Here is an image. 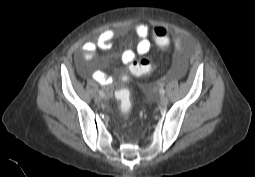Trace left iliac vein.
Wrapping results in <instances>:
<instances>
[{
    "label": "left iliac vein",
    "mask_w": 255,
    "mask_h": 177,
    "mask_svg": "<svg viewBox=\"0 0 255 177\" xmlns=\"http://www.w3.org/2000/svg\"><path fill=\"white\" fill-rule=\"evenodd\" d=\"M169 103V100L166 96H161L160 98V105L161 106H166Z\"/></svg>",
    "instance_id": "4c4485c4"
}]
</instances>
